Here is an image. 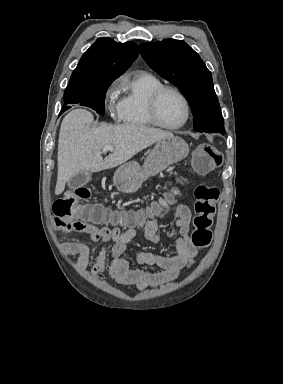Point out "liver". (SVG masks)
<instances>
[{"instance_id":"1","label":"liver","mask_w":283,"mask_h":384,"mask_svg":"<svg viewBox=\"0 0 283 384\" xmlns=\"http://www.w3.org/2000/svg\"><path fill=\"white\" fill-rule=\"evenodd\" d=\"M93 120L94 116L88 110H72L63 118L57 152L56 196L64 192L66 182L77 174L116 168L144 148L173 136L171 132L148 128L142 124L90 128ZM104 146L114 148V152L105 160L101 156Z\"/></svg>"}]
</instances>
